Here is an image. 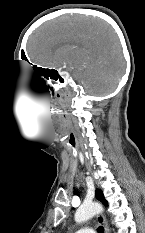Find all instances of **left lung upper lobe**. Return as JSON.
Instances as JSON below:
<instances>
[{"instance_id":"1","label":"left lung upper lobe","mask_w":145,"mask_h":233,"mask_svg":"<svg viewBox=\"0 0 145 233\" xmlns=\"http://www.w3.org/2000/svg\"><path fill=\"white\" fill-rule=\"evenodd\" d=\"M96 197L98 198V200H100L102 203H104L106 206H108V203L104 199V195H103V193H102V191L100 189L96 190Z\"/></svg>"}]
</instances>
